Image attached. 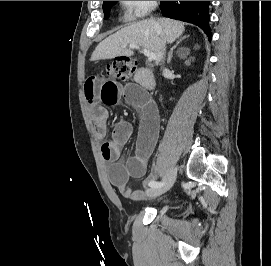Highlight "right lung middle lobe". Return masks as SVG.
I'll list each match as a JSON object with an SVG mask.
<instances>
[{
  "mask_svg": "<svg viewBox=\"0 0 271 266\" xmlns=\"http://www.w3.org/2000/svg\"><path fill=\"white\" fill-rule=\"evenodd\" d=\"M116 3V1H103V11L104 18H108L110 14L111 7Z\"/></svg>",
  "mask_w": 271,
  "mask_h": 266,
  "instance_id": "obj_1",
  "label": "right lung middle lobe"
}]
</instances>
